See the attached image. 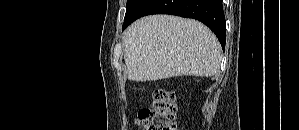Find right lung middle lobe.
<instances>
[{
    "label": "right lung middle lobe",
    "mask_w": 299,
    "mask_h": 130,
    "mask_svg": "<svg viewBox=\"0 0 299 130\" xmlns=\"http://www.w3.org/2000/svg\"><path fill=\"white\" fill-rule=\"evenodd\" d=\"M147 0H127L123 30L130 24L133 16Z\"/></svg>",
    "instance_id": "obj_1"
}]
</instances>
